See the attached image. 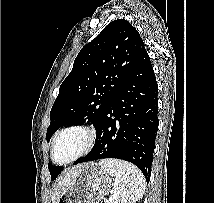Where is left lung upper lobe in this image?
<instances>
[{
    "mask_svg": "<svg viewBox=\"0 0 214 203\" xmlns=\"http://www.w3.org/2000/svg\"><path fill=\"white\" fill-rule=\"evenodd\" d=\"M145 45L128 21L110 22L78 53L50 112L47 141L64 125L91 123L97 128L115 93L133 69ZM54 180L63 167L48 165Z\"/></svg>",
    "mask_w": 214,
    "mask_h": 203,
    "instance_id": "obj_1",
    "label": "left lung upper lobe"
}]
</instances>
